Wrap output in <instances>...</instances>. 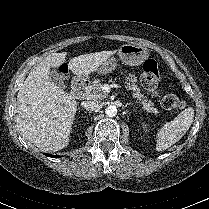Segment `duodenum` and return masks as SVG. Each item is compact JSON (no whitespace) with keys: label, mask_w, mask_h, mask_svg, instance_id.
I'll return each instance as SVG.
<instances>
[{"label":"duodenum","mask_w":209,"mask_h":209,"mask_svg":"<svg viewBox=\"0 0 209 209\" xmlns=\"http://www.w3.org/2000/svg\"><path fill=\"white\" fill-rule=\"evenodd\" d=\"M87 87V83L82 80H75L72 84V95L75 97H80Z\"/></svg>","instance_id":"410a0bca"}]
</instances>
